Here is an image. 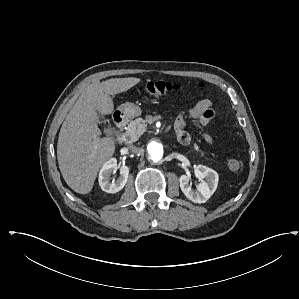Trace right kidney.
Masks as SVG:
<instances>
[{"mask_svg":"<svg viewBox=\"0 0 299 299\" xmlns=\"http://www.w3.org/2000/svg\"><path fill=\"white\" fill-rule=\"evenodd\" d=\"M117 168V160L115 158L109 159L102 166L99 173V185L103 191L107 193H116L124 188L128 179L129 168L125 165H122L120 167L119 178L116 181L113 180L110 182V176L117 170Z\"/></svg>","mask_w":299,"mask_h":299,"instance_id":"obj_1","label":"right kidney"}]
</instances>
